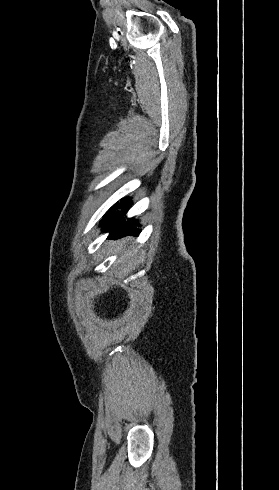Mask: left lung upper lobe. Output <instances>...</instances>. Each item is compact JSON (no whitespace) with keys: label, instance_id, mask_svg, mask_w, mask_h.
Instances as JSON below:
<instances>
[{"label":"left lung upper lobe","instance_id":"1","mask_svg":"<svg viewBox=\"0 0 279 490\" xmlns=\"http://www.w3.org/2000/svg\"><path fill=\"white\" fill-rule=\"evenodd\" d=\"M114 206H115V205H114ZM114 206H113V207H112V208H111V209H110V210H109V211L106 213V215H107L108 213H110V212L113 210ZM106 215H105V216H106Z\"/></svg>","mask_w":279,"mask_h":490}]
</instances>
